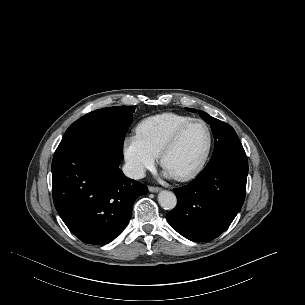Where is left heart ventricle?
Wrapping results in <instances>:
<instances>
[{
    "mask_svg": "<svg viewBox=\"0 0 305 305\" xmlns=\"http://www.w3.org/2000/svg\"><path fill=\"white\" fill-rule=\"evenodd\" d=\"M208 142L206 128L199 123L191 125L177 147L167 156L165 169L177 176L192 170L202 158Z\"/></svg>",
    "mask_w": 305,
    "mask_h": 305,
    "instance_id": "obj_1",
    "label": "left heart ventricle"
}]
</instances>
